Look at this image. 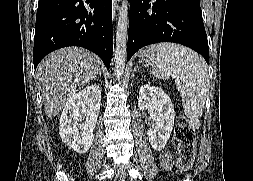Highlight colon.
I'll return each instance as SVG.
<instances>
[{"label":"colon","mask_w":253,"mask_h":181,"mask_svg":"<svg viewBox=\"0 0 253 181\" xmlns=\"http://www.w3.org/2000/svg\"><path fill=\"white\" fill-rule=\"evenodd\" d=\"M178 143V167L185 172L190 169L196 151V136L193 128L184 117H179L175 128Z\"/></svg>","instance_id":"5ec220e1"}]
</instances>
